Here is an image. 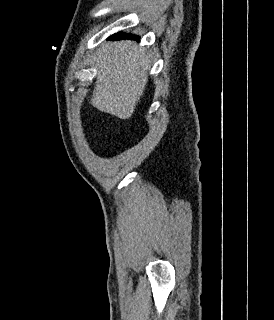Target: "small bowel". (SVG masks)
Here are the masks:
<instances>
[{
	"label": "small bowel",
	"mask_w": 274,
	"mask_h": 320,
	"mask_svg": "<svg viewBox=\"0 0 274 320\" xmlns=\"http://www.w3.org/2000/svg\"><path fill=\"white\" fill-rule=\"evenodd\" d=\"M93 151H96V148H93Z\"/></svg>",
	"instance_id": "small-bowel-1"
}]
</instances>
